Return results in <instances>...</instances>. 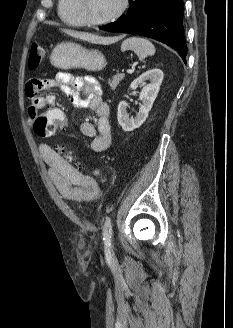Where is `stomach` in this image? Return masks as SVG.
I'll return each instance as SVG.
<instances>
[{"label":"stomach","mask_w":233,"mask_h":328,"mask_svg":"<svg viewBox=\"0 0 233 328\" xmlns=\"http://www.w3.org/2000/svg\"><path fill=\"white\" fill-rule=\"evenodd\" d=\"M50 61L59 69L82 68L88 71H100L106 65L101 52L96 49H86L72 42L56 45L52 50Z\"/></svg>","instance_id":"1"}]
</instances>
